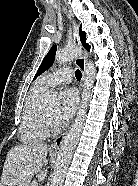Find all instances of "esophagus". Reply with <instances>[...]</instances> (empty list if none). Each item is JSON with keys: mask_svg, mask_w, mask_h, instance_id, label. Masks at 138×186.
I'll list each match as a JSON object with an SVG mask.
<instances>
[{"mask_svg": "<svg viewBox=\"0 0 138 186\" xmlns=\"http://www.w3.org/2000/svg\"><path fill=\"white\" fill-rule=\"evenodd\" d=\"M64 12L67 14V11H66L65 8H64ZM67 15H68V18L71 19L70 15L69 14H67ZM72 31H73V41H74V43L77 44L78 46H81L78 26L74 22H72ZM75 63L82 70V74H83L82 81H81V86H82L83 81L85 79V73H86V56L82 55V56L78 57L75 60ZM64 138H65V134L56 137L54 139L53 143L51 144V148H53V149L59 148L62 145Z\"/></svg>", "mask_w": 138, "mask_h": 186, "instance_id": "34e87169", "label": "esophagus"}]
</instances>
